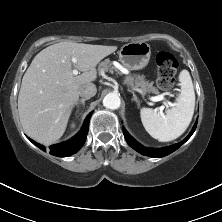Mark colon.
I'll return each mask as SVG.
<instances>
[{
  "label": "colon",
  "instance_id": "5ec220e1",
  "mask_svg": "<svg viewBox=\"0 0 222 222\" xmlns=\"http://www.w3.org/2000/svg\"><path fill=\"white\" fill-rule=\"evenodd\" d=\"M157 86L164 92H170L175 86V75L179 66L177 59L168 52L156 55Z\"/></svg>",
  "mask_w": 222,
  "mask_h": 222
}]
</instances>
